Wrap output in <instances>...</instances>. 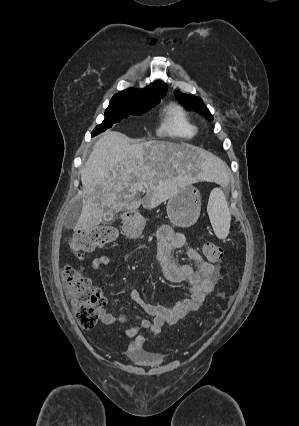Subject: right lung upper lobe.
<instances>
[{
	"label": "right lung upper lobe",
	"mask_w": 299,
	"mask_h": 426,
	"mask_svg": "<svg viewBox=\"0 0 299 426\" xmlns=\"http://www.w3.org/2000/svg\"><path fill=\"white\" fill-rule=\"evenodd\" d=\"M167 91V85L164 82L157 81L152 83L150 86L143 90H134L132 88L127 89L125 91H121L114 95L113 98L121 99V100H137L142 95L151 92H164Z\"/></svg>",
	"instance_id": "cb5924a9"
}]
</instances>
